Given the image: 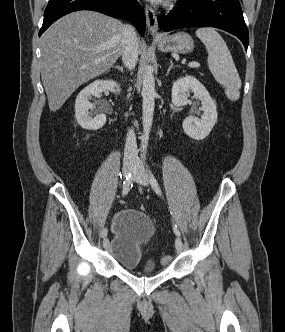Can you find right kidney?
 I'll use <instances>...</instances> for the list:
<instances>
[{"instance_id": "ca27d5eb", "label": "right kidney", "mask_w": 285, "mask_h": 332, "mask_svg": "<svg viewBox=\"0 0 285 332\" xmlns=\"http://www.w3.org/2000/svg\"><path fill=\"white\" fill-rule=\"evenodd\" d=\"M106 91L118 94L121 89L113 80H96L78 94L75 101V117L82 128L98 130L104 126L106 122L105 114H98L94 118L89 114V110L93 108V104L89 99L91 96H98Z\"/></svg>"}]
</instances>
